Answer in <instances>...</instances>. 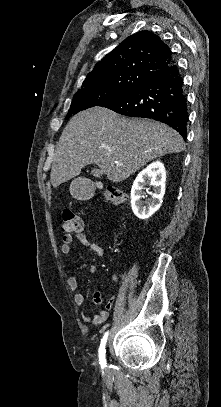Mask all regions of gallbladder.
I'll return each mask as SVG.
<instances>
[{"instance_id": "obj_1", "label": "gallbladder", "mask_w": 221, "mask_h": 407, "mask_svg": "<svg viewBox=\"0 0 221 407\" xmlns=\"http://www.w3.org/2000/svg\"><path fill=\"white\" fill-rule=\"evenodd\" d=\"M91 174L96 177H100L102 175V172H101V170L95 168V169L91 170Z\"/></svg>"}]
</instances>
